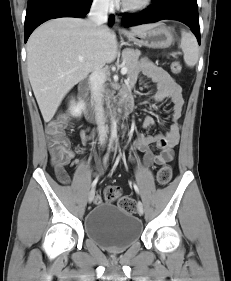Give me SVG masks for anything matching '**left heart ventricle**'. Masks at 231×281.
<instances>
[{
  "instance_id": "left-heart-ventricle-1",
  "label": "left heart ventricle",
  "mask_w": 231,
  "mask_h": 281,
  "mask_svg": "<svg viewBox=\"0 0 231 281\" xmlns=\"http://www.w3.org/2000/svg\"><path fill=\"white\" fill-rule=\"evenodd\" d=\"M127 2H131V3H133V2H137V1H140V0H126Z\"/></svg>"
}]
</instances>
